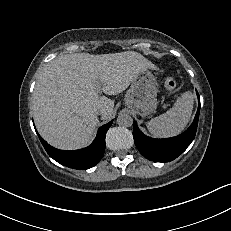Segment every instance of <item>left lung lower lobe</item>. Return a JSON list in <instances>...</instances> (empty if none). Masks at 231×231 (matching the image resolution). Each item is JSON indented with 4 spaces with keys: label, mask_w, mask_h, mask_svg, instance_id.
<instances>
[{
    "label": "left lung lower lobe",
    "mask_w": 231,
    "mask_h": 231,
    "mask_svg": "<svg viewBox=\"0 0 231 231\" xmlns=\"http://www.w3.org/2000/svg\"><path fill=\"white\" fill-rule=\"evenodd\" d=\"M198 95V93H197ZM199 98V95H198ZM199 107L191 126L181 135L166 139H153L144 135L134 122V142L142 155L155 162H169L177 158L193 141L199 118Z\"/></svg>",
    "instance_id": "obj_1"
}]
</instances>
